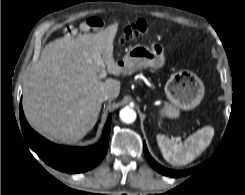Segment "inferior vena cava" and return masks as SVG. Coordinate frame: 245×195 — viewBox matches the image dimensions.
Wrapping results in <instances>:
<instances>
[{
	"instance_id": "obj_1",
	"label": "inferior vena cava",
	"mask_w": 245,
	"mask_h": 195,
	"mask_svg": "<svg viewBox=\"0 0 245 195\" xmlns=\"http://www.w3.org/2000/svg\"><path fill=\"white\" fill-rule=\"evenodd\" d=\"M99 102H104V101H108V100H112V96L109 94H103L99 97Z\"/></svg>"
}]
</instances>
